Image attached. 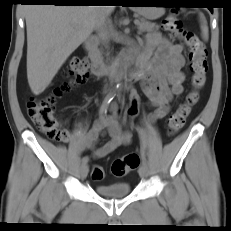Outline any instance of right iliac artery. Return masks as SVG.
I'll return each mask as SVG.
<instances>
[{
	"label": "right iliac artery",
	"instance_id": "obj_1",
	"mask_svg": "<svg viewBox=\"0 0 231 231\" xmlns=\"http://www.w3.org/2000/svg\"><path fill=\"white\" fill-rule=\"evenodd\" d=\"M115 92H116L115 90L111 91L104 98V100H103V102L101 104L100 110H99V116H100V118H103V117L106 116L108 106H109L110 102L113 100V98L116 95ZM88 161H89V157L88 156L83 157V159H82V165L87 164Z\"/></svg>",
	"mask_w": 231,
	"mask_h": 231
}]
</instances>
